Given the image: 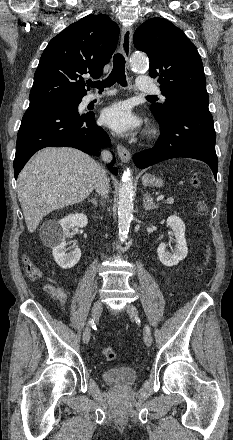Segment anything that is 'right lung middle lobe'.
Listing matches in <instances>:
<instances>
[{"label":"right lung middle lobe","mask_w":233,"mask_h":440,"mask_svg":"<svg viewBox=\"0 0 233 440\" xmlns=\"http://www.w3.org/2000/svg\"><path fill=\"white\" fill-rule=\"evenodd\" d=\"M80 102H81V99H58V100L50 101L47 103L67 105V106L72 107L75 110H78V105Z\"/></svg>","instance_id":"obj_1"}]
</instances>
